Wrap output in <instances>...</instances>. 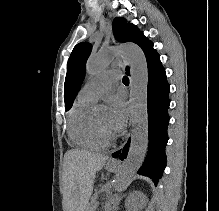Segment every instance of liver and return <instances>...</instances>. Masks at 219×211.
Segmentation results:
<instances>
[{
  "label": "liver",
  "mask_w": 219,
  "mask_h": 211,
  "mask_svg": "<svg viewBox=\"0 0 219 211\" xmlns=\"http://www.w3.org/2000/svg\"><path fill=\"white\" fill-rule=\"evenodd\" d=\"M108 155L68 149L64 155V201L66 211H84L93 191L96 171L108 161Z\"/></svg>",
  "instance_id": "6515ba94"
}]
</instances>
